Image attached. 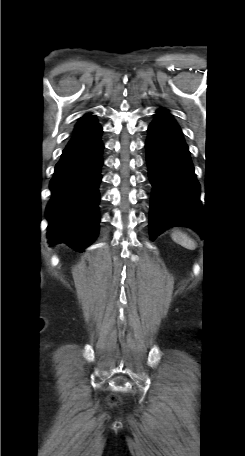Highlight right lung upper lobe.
<instances>
[{
    "label": "right lung upper lobe",
    "mask_w": 245,
    "mask_h": 456,
    "mask_svg": "<svg viewBox=\"0 0 245 456\" xmlns=\"http://www.w3.org/2000/svg\"><path fill=\"white\" fill-rule=\"evenodd\" d=\"M100 129L101 126L98 124L93 115L87 114L81 117L75 126L73 136L67 147L78 146L89 142L99 134Z\"/></svg>",
    "instance_id": "right-lung-upper-lobe-1"
}]
</instances>
